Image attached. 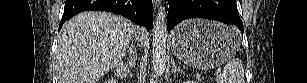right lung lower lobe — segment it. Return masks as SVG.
I'll use <instances>...</instances> for the list:
<instances>
[{
    "label": "right lung lower lobe",
    "instance_id": "98d812e1",
    "mask_svg": "<svg viewBox=\"0 0 307 83\" xmlns=\"http://www.w3.org/2000/svg\"><path fill=\"white\" fill-rule=\"evenodd\" d=\"M97 10L122 15L148 31L153 24L152 0H66L59 28L78 13Z\"/></svg>",
    "mask_w": 307,
    "mask_h": 83
}]
</instances>
